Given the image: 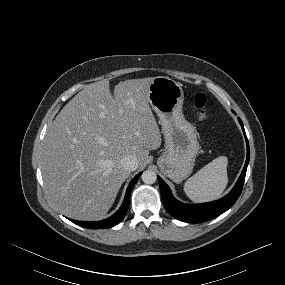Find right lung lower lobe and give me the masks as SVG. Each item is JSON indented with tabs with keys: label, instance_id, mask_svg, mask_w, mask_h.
Wrapping results in <instances>:
<instances>
[{
	"label": "right lung lower lobe",
	"instance_id": "1",
	"mask_svg": "<svg viewBox=\"0 0 285 285\" xmlns=\"http://www.w3.org/2000/svg\"><path fill=\"white\" fill-rule=\"evenodd\" d=\"M141 173H139L129 184L127 191H126V195L124 198V201L120 207V209L111 217L102 220V221H96V222H81V221H75V220H71L72 222L85 227V228H91V229H104V228H110L113 227L115 225H117L118 223H120V221L125 217L126 212L128 210V206H129V199H130V193L131 190L133 188V186L136 184L139 175Z\"/></svg>",
	"mask_w": 285,
	"mask_h": 285
}]
</instances>
